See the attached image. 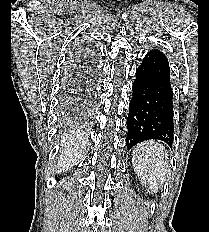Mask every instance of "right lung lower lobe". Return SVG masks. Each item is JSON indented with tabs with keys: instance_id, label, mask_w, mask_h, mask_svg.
Segmentation results:
<instances>
[{
	"instance_id": "obj_1",
	"label": "right lung lower lobe",
	"mask_w": 209,
	"mask_h": 232,
	"mask_svg": "<svg viewBox=\"0 0 209 232\" xmlns=\"http://www.w3.org/2000/svg\"><path fill=\"white\" fill-rule=\"evenodd\" d=\"M72 61L75 66L79 67V70L84 68L85 77H90L95 65V51L82 47L76 50L74 56L72 57ZM74 74L76 77L77 74Z\"/></svg>"
}]
</instances>
